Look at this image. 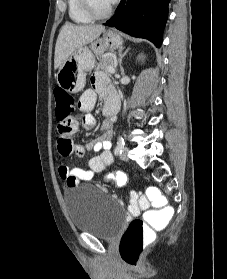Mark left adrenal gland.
<instances>
[{
	"label": "left adrenal gland",
	"instance_id": "obj_1",
	"mask_svg": "<svg viewBox=\"0 0 227 279\" xmlns=\"http://www.w3.org/2000/svg\"><path fill=\"white\" fill-rule=\"evenodd\" d=\"M122 51H123V49H120L118 51V56H119L118 63H119L120 69H121V75L124 76L125 75V71H124V68L122 66V59L127 54L129 49H127L124 53H122Z\"/></svg>",
	"mask_w": 227,
	"mask_h": 279
}]
</instances>
